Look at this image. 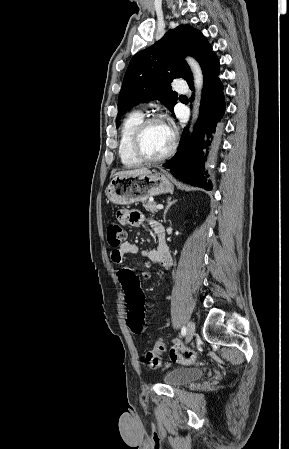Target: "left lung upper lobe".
<instances>
[{"mask_svg": "<svg viewBox=\"0 0 289 449\" xmlns=\"http://www.w3.org/2000/svg\"><path fill=\"white\" fill-rule=\"evenodd\" d=\"M211 51V45L200 31L189 25H180L151 47L134 55L119 93L116 126L119 127L121 116L134 105L149 100L158 99L173 112L177 93L170 83L175 78L192 81L184 56L192 55L201 65Z\"/></svg>", "mask_w": 289, "mask_h": 449, "instance_id": "1", "label": "left lung upper lobe"}]
</instances>
